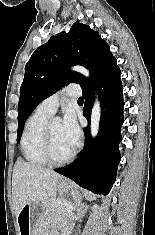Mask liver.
I'll return each mask as SVG.
<instances>
[{"mask_svg": "<svg viewBox=\"0 0 155 235\" xmlns=\"http://www.w3.org/2000/svg\"><path fill=\"white\" fill-rule=\"evenodd\" d=\"M61 176L24 160H17L12 175V198L16 217L32 202H47L57 194Z\"/></svg>", "mask_w": 155, "mask_h": 235, "instance_id": "obj_1", "label": "liver"}]
</instances>
